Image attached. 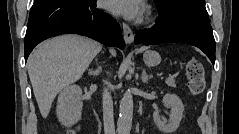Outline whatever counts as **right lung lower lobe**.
<instances>
[{"label": "right lung lower lobe", "instance_id": "1", "mask_svg": "<svg viewBox=\"0 0 239 134\" xmlns=\"http://www.w3.org/2000/svg\"><path fill=\"white\" fill-rule=\"evenodd\" d=\"M75 33L124 49L119 24L96 8V0H39L32 7L25 35V60L41 41Z\"/></svg>", "mask_w": 239, "mask_h": 134}]
</instances>
